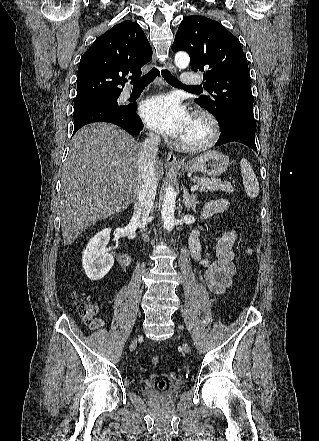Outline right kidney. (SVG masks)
I'll return each instance as SVG.
<instances>
[{
  "label": "right kidney",
  "instance_id": "ca27d5eb",
  "mask_svg": "<svg viewBox=\"0 0 319 441\" xmlns=\"http://www.w3.org/2000/svg\"><path fill=\"white\" fill-rule=\"evenodd\" d=\"M110 228H105L91 238L82 256V265L87 277L92 281L102 279L114 264L113 255L106 252L110 239Z\"/></svg>",
  "mask_w": 319,
  "mask_h": 441
}]
</instances>
